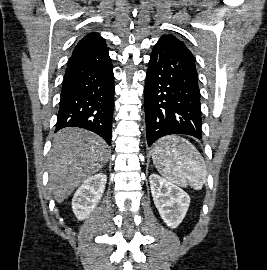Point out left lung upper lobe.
I'll return each instance as SVG.
<instances>
[{
    "mask_svg": "<svg viewBox=\"0 0 267 270\" xmlns=\"http://www.w3.org/2000/svg\"><path fill=\"white\" fill-rule=\"evenodd\" d=\"M159 41L172 43L178 47H181L182 50H184L186 53H188L194 59L192 53L189 51V49L186 47V45L183 42L176 39L173 35H164L159 39Z\"/></svg>",
    "mask_w": 267,
    "mask_h": 270,
    "instance_id": "1",
    "label": "left lung upper lobe"
}]
</instances>
